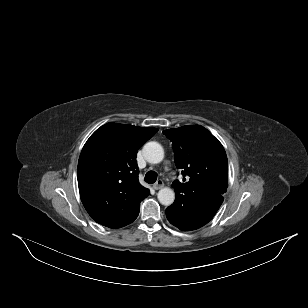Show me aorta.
<instances>
[{"label":"aorta","mask_w":308,"mask_h":308,"mask_svg":"<svg viewBox=\"0 0 308 308\" xmlns=\"http://www.w3.org/2000/svg\"><path fill=\"white\" fill-rule=\"evenodd\" d=\"M143 153L149 163H160L164 158V150L157 142H148L143 147ZM158 200L162 205L169 206L175 200V193L171 188L165 187L159 190Z\"/></svg>","instance_id":"1"}]
</instances>
